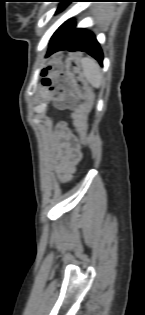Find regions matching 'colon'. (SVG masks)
<instances>
[{
    "label": "colon",
    "mask_w": 145,
    "mask_h": 315,
    "mask_svg": "<svg viewBox=\"0 0 145 315\" xmlns=\"http://www.w3.org/2000/svg\"><path fill=\"white\" fill-rule=\"evenodd\" d=\"M41 74L44 85L53 90L57 106L74 110L75 126L84 138L87 133V115L92 93L82 77L79 57L75 55L68 59L66 72L59 59L53 58L42 67ZM80 99L84 102L80 103Z\"/></svg>",
    "instance_id": "colon-1"
}]
</instances>
